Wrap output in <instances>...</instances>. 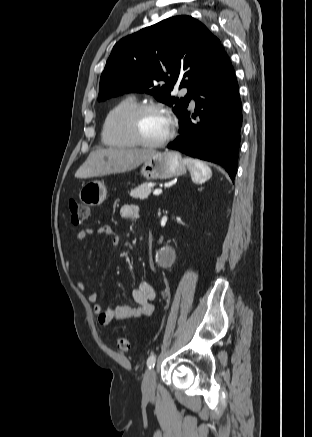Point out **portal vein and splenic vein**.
<instances>
[{
  "instance_id": "1",
  "label": "portal vein and splenic vein",
  "mask_w": 312,
  "mask_h": 437,
  "mask_svg": "<svg viewBox=\"0 0 312 437\" xmlns=\"http://www.w3.org/2000/svg\"><path fill=\"white\" fill-rule=\"evenodd\" d=\"M162 193V190L161 189H156V190H154V192H153V194L155 195V196H158V195H160Z\"/></svg>"
}]
</instances>
